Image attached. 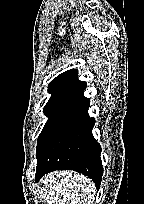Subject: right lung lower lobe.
Listing matches in <instances>:
<instances>
[{"mask_svg": "<svg viewBox=\"0 0 144 204\" xmlns=\"http://www.w3.org/2000/svg\"><path fill=\"white\" fill-rule=\"evenodd\" d=\"M89 105L90 100L82 95L60 118L37 156L35 181L51 171L70 169L91 178L99 189L103 175L101 147L91 133L95 119L88 114Z\"/></svg>", "mask_w": 144, "mask_h": 204, "instance_id": "1", "label": "right lung lower lobe"}]
</instances>
